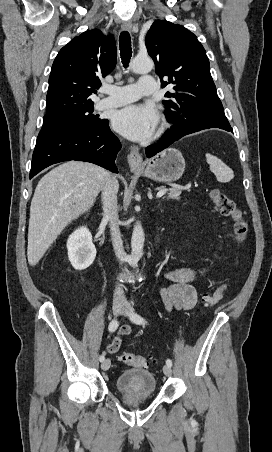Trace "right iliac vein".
<instances>
[{
    "mask_svg": "<svg viewBox=\"0 0 272 452\" xmlns=\"http://www.w3.org/2000/svg\"><path fill=\"white\" fill-rule=\"evenodd\" d=\"M122 307H123L122 302H120V301L113 302V304H112L113 314L118 315L119 312L121 311ZM110 365H111V361L109 359H105L101 364V368H102V370L106 371L110 368Z\"/></svg>",
    "mask_w": 272,
    "mask_h": 452,
    "instance_id": "obj_1",
    "label": "right iliac vein"
}]
</instances>
